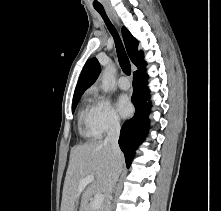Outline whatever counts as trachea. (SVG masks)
<instances>
[{"mask_svg": "<svg viewBox=\"0 0 221 211\" xmlns=\"http://www.w3.org/2000/svg\"><path fill=\"white\" fill-rule=\"evenodd\" d=\"M96 10L102 16L104 22L107 25L108 30L110 31L111 35L114 38L117 57H118L119 64H120L123 72L126 75H130L131 74L130 61H129V58L126 54V51H125L124 46L122 44V41L118 35V32L116 31L115 27L113 26V24L111 23V21L107 17L104 8H96Z\"/></svg>", "mask_w": 221, "mask_h": 211, "instance_id": "1", "label": "trachea"}]
</instances>
